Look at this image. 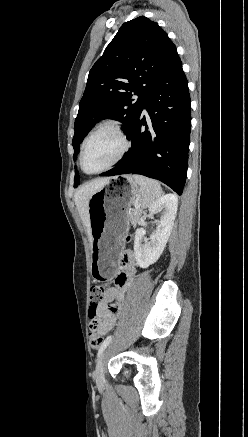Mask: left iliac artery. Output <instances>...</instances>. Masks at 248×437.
<instances>
[{
	"mask_svg": "<svg viewBox=\"0 0 248 437\" xmlns=\"http://www.w3.org/2000/svg\"><path fill=\"white\" fill-rule=\"evenodd\" d=\"M111 340H112V335L108 336V337L103 341L102 345H101L100 348H99L98 354H97L98 357L103 353V351H104L105 348L109 345V343L111 342Z\"/></svg>",
	"mask_w": 248,
	"mask_h": 437,
	"instance_id": "left-iliac-artery-1",
	"label": "left iliac artery"
}]
</instances>
